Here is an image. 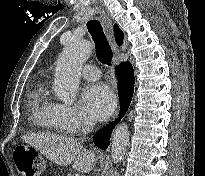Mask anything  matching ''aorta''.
I'll use <instances>...</instances> for the list:
<instances>
[{
	"mask_svg": "<svg viewBox=\"0 0 205 176\" xmlns=\"http://www.w3.org/2000/svg\"><path fill=\"white\" fill-rule=\"evenodd\" d=\"M92 51V45L86 40H72L63 49L58 57L53 90L62 101L72 103L80 82V73L83 64ZM129 141V129L126 124L116 127L111 142V158L114 163L123 159Z\"/></svg>",
	"mask_w": 205,
	"mask_h": 176,
	"instance_id": "aorta-1",
	"label": "aorta"
}]
</instances>
